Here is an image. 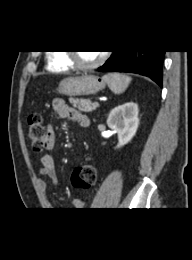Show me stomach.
I'll list each match as a JSON object with an SVG mask.
<instances>
[{
  "label": "stomach",
  "instance_id": "1",
  "mask_svg": "<svg viewBox=\"0 0 192 260\" xmlns=\"http://www.w3.org/2000/svg\"><path fill=\"white\" fill-rule=\"evenodd\" d=\"M106 82L95 75H82L63 79L58 91L70 97L94 95L103 90Z\"/></svg>",
  "mask_w": 192,
  "mask_h": 260
}]
</instances>
